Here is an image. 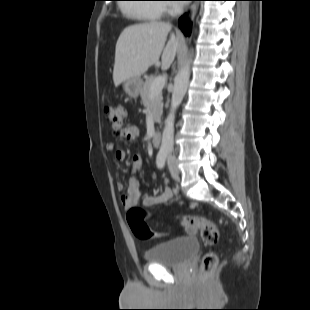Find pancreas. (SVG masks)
Returning a JSON list of instances; mask_svg holds the SVG:
<instances>
[{"label":"pancreas","mask_w":310,"mask_h":310,"mask_svg":"<svg viewBox=\"0 0 310 310\" xmlns=\"http://www.w3.org/2000/svg\"><path fill=\"white\" fill-rule=\"evenodd\" d=\"M155 78L149 77L146 79L141 91H140V95H141V101L144 105V107L149 108L153 119L155 122H160V118L162 115V93L159 92L156 95H154L153 97H151L150 95V88L152 83L154 82Z\"/></svg>","instance_id":"1"}]
</instances>
